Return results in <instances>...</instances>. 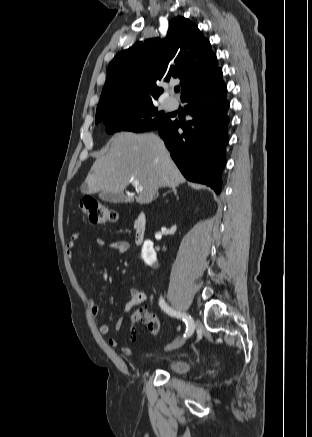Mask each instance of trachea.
<instances>
[{
    "instance_id": "trachea-1",
    "label": "trachea",
    "mask_w": 312,
    "mask_h": 437,
    "mask_svg": "<svg viewBox=\"0 0 312 437\" xmlns=\"http://www.w3.org/2000/svg\"><path fill=\"white\" fill-rule=\"evenodd\" d=\"M180 91V87H175V92H179Z\"/></svg>"
}]
</instances>
